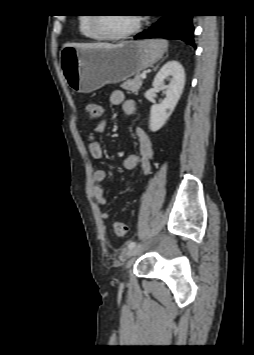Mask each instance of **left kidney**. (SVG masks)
<instances>
[{
	"instance_id": "obj_1",
	"label": "left kidney",
	"mask_w": 254,
	"mask_h": 355,
	"mask_svg": "<svg viewBox=\"0 0 254 355\" xmlns=\"http://www.w3.org/2000/svg\"><path fill=\"white\" fill-rule=\"evenodd\" d=\"M169 84L165 85V81ZM185 85V71L178 61H169L162 66L154 78L153 87L164 90L165 99L161 104H154L150 110L151 131L156 132L163 127L174 111Z\"/></svg>"
}]
</instances>
